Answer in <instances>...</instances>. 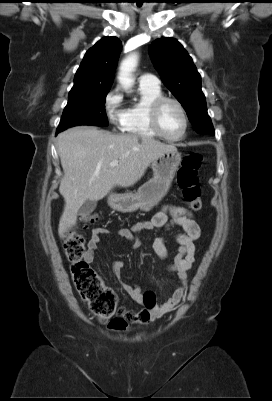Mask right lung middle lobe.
Instances as JSON below:
<instances>
[{
    "label": "right lung middle lobe",
    "mask_w": 272,
    "mask_h": 401,
    "mask_svg": "<svg viewBox=\"0 0 272 401\" xmlns=\"http://www.w3.org/2000/svg\"><path fill=\"white\" fill-rule=\"evenodd\" d=\"M109 90L94 89L69 96L57 133L76 125L107 126L105 101Z\"/></svg>",
    "instance_id": "right-lung-middle-lobe-1"
}]
</instances>
